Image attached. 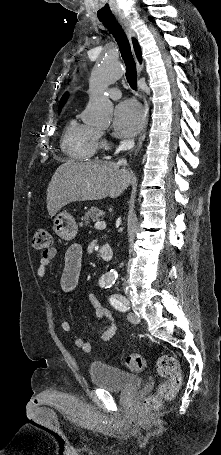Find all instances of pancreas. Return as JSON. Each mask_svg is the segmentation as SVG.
Returning <instances> with one entry per match:
<instances>
[{
    "label": "pancreas",
    "mask_w": 221,
    "mask_h": 455,
    "mask_svg": "<svg viewBox=\"0 0 221 455\" xmlns=\"http://www.w3.org/2000/svg\"><path fill=\"white\" fill-rule=\"evenodd\" d=\"M103 215V211L100 210L99 208L97 207H91L88 212H86L85 216L82 217V222H81V226L84 224L83 221L85 222V224H87L89 222V220H93V221H97L99 216Z\"/></svg>",
    "instance_id": "obj_1"
}]
</instances>
